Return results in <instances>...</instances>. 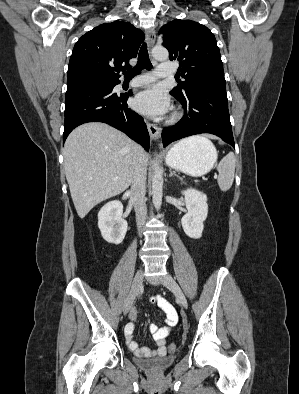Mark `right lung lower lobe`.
Here are the masks:
<instances>
[{
  "label": "right lung lower lobe",
  "mask_w": 299,
  "mask_h": 394,
  "mask_svg": "<svg viewBox=\"0 0 299 394\" xmlns=\"http://www.w3.org/2000/svg\"><path fill=\"white\" fill-rule=\"evenodd\" d=\"M120 81L95 82L68 87L65 96L63 141L77 126L93 121L107 123L149 150L150 138L142 117L128 108L132 95L116 94L112 90Z\"/></svg>",
  "instance_id": "right-lung-lower-lobe-1"
}]
</instances>
